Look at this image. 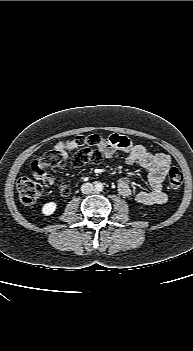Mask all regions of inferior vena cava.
I'll return each instance as SVG.
<instances>
[{
    "mask_svg": "<svg viewBox=\"0 0 193 351\" xmlns=\"http://www.w3.org/2000/svg\"><path fill=\"white\" fill-rule=\"evenodd\" d=\"M94 190V187H93V184L87 182V183H84L82 184L81 186V192L83 194H89L91 193L92 191Z\"/></svg>",
    "mask_w": 193,
    "mask_h": 351,
    "instance_id": "602c4592",
    "label": "inferior vena cava"
}]
</instances>
